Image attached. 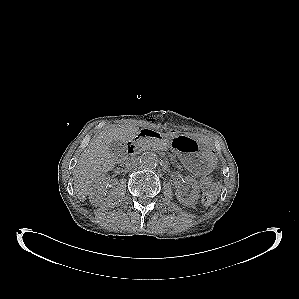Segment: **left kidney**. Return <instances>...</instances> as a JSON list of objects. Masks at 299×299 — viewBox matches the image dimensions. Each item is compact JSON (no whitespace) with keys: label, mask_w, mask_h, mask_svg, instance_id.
I'll list each match as a JSON object with an SVG mask.
<instances>
[{"label":"left kidney","mask_w":299,"mask_h":299,"mask_svg":"<svg viewBox=\"0 0 299 299\" xmlns=\"http://www.w3.org/2000/svg\"><path fill=\"white\" fill-rule=\"evenodd\" d=\"M185 182L192 187L189 197H184L180 189L176 190L175 195L177 197V200L183 205L192 206L199 198V185L198 182L190 176L185 177Z\"/></svg>","instance_id":"5707ae66"}]
</instances>
